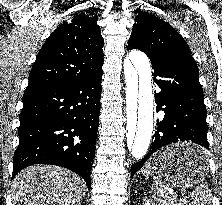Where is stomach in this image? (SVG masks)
<instances>
[{"mask_svg":"<svg viewBox=\"0 0 222 205\" xmlns=\"http://www.w3.org/2000/svg\"><path fill=\"white\" fill-rule=\"evenodd\" d=\"M185 150H202V148L186 142L167 146L151 159L152 168L149 175L163 187L190 188L203 181L208 172L207 160L192 166L171 162L177 152Z\"/></svg>","mask_w":222,"mask_h":205,"instance_id":"obj_1","label":"stomach"}]
</instances>
